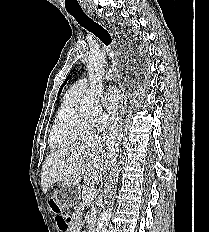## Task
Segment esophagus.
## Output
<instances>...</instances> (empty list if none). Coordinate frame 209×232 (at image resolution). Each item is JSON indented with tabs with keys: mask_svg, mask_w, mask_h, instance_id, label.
Instances as JSON below:
<instances>
[{
	"mask_svg": "<svg viewBox=\"0 0 209 232\" xmlns=\"http://www.w3.org/2000/svg\"><path fill=\"white\" fill-rule=\"evenodd\" d=\"M88 12H90V11L88 10ZM126 102H127L126 96L124 94H122L121 104H120V112H121V114H124V112H125Z\"/></svg>",
	"mask_w": 209,
	"mask_h": 232,
	"instance_id": "1",
	"label": "esophagus"
}]
</instances>
